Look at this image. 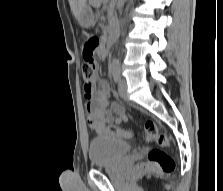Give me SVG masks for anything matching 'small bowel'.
<instances>
[{
  "mask_svg": "<svg viewBox=\"0 0 223 191\" xmlns=\"http://www.w3.org/2000/svg\"><path fill=\"white\" fill-rule=\"evenodd\" d=\"M83 92L89 100L86 104L89 127L96 133H104L107 124H120L127 120L124 106L110 101L111 88L106 80L85 83Z\"/></svg>",
  "mask_w": 223,
  "mask_h": 191,
  "instance_id": "c3829d8e",
  "label": "small bowel"
}]
</instances>
